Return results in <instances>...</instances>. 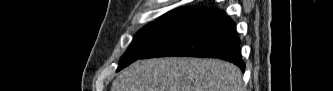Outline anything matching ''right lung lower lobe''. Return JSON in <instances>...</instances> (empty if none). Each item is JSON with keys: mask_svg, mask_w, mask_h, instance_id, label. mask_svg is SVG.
<instances>
[{"mask_svg": "<svg viewBox=\"0 0 333 91\" xmlns=\"http://www.w3.org/2000/svg\"><path fill=\"white\" fill-rule=\"evenodd\" d=\"M164 56L220 58L232 62L242 71L245 68L234 22L212 8L189 20L140 59Z\"/></svg>", "mask_w": 333, "mask_h": 91, "instance_id": "1", "label": "right lung lower lobe"}]
</instances>
